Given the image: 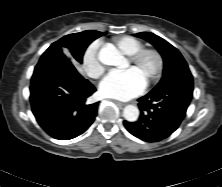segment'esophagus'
<instances>
[{"instance_id":"34e87169","label":"esophagus","mask_w":222,"mask_h":187,"mask_svg":"<svg viewBox=\"0 0 222 187\" xmlns=\"http://www.w3.org/2000/svg\"><path fill=\"white\" fill-rule=\"evenodd\" d=\"M113 102H115L116 104H118V105H120V106H124V105H125V103H122V102L117 101V100H113Z\"/></svg>"}]
</instances>
